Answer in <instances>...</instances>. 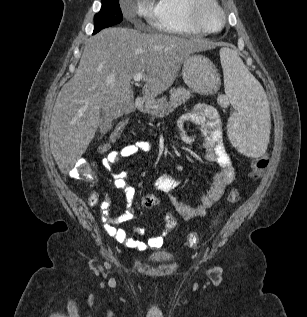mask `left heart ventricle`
<instances>
[{
	"mask_svg": "<svg viewBox=\"0 0 307 317\" xmlns=\"http://www.w3.org/2000/svg\"><path fill=\"white\" fill-rule=\"evenodd\" d=\"M203 22L209 29H216L219 26L220 18L212 7H207L202 14Z\"/></svg>",
	"mask_w": 307,
	"mask_h": 317,
	"instance_id": "obj_1",
	"label": "left heart ventricle"
}]
</instances>
